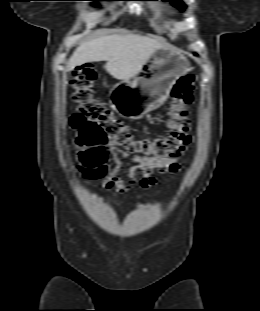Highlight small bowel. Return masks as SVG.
I'll use <instances>...</instances> for the list:
<instances>
[{"instance_id": "c3829d8e", "label": "small bowel", "mask_w": 260, "mask_h": 311, "mask_svg": "<svg viewBox=\"0 0 260 311\" xmlns=\"http://www.w3.org/2000/svg\"><path fill=\"white\" fill-rule=\"evenodd\" d=\"M108 148L112 152V166L110 169L105 164L95 172L82 170V173L89 181L105 177L102 187L119 194L128 193L136 186L144 189L152 187L156 182L153 174L155 169L161 174L175 173L180 169L178 158L156 159L150 156L136 155L132 159L134 164L127 171L130 180L126 182L123 178V163L118 157L115 146L108 144ZM139 174H141V177H138Z\"/></svg>"}]
</instances>
